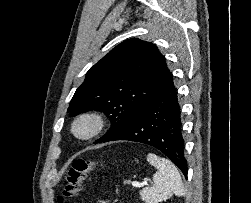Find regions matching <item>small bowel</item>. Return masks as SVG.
Returning <instances> with one entry per match:
<instances>
[{
  "mask_svg": "<svg viewBox=\"0 0 251 203\" xmlns=\"http://www.w3.org/2000/svg\"><path fill=\"white\" fill-rule=\"evenodd\" d=\"M98 203H110L109 201H106V200H103V201H100Z\"/></svg>",
  "mask_w": 251,
  "mask_h": 203,
  "instance_id": "1",
  "label": "small bowel"
}]
</instances>
